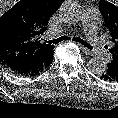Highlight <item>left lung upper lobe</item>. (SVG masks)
Returning a JSON list of instances; mask_svg holds the SVG:
<instances>
[{"label": "left lung upper lobe", "instance_id": "left-lung-upper-lobe-1", "mask_svg": "<svg viewBox=\"0 0 118 118\" xmlns=\"http://www.w3.org/2000/svg\"><path fill=\"white\" fill-rule=\"evenodd\" d=\"M99 10L105 21V26L110 31L111 41L114 46L109 51L112 54V60L108 64L105 72L113 80L118 81V7L106 0H100Z\"/></svg>", "mask_w": 118, "mask_h": 118}]
</instances>
